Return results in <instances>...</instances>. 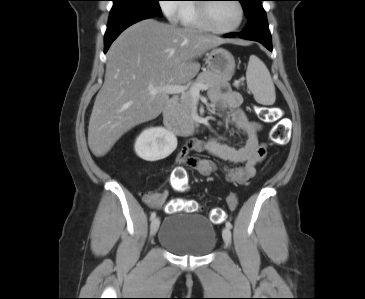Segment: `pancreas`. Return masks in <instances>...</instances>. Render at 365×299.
<instances>
[{"label": "pancreas", "instance_id": "cf45deb5", "mask_svg": "<svg viewBox=\"0 0 365 299\" xmlns=\"http://www.w3.org/2000/svg\"><path fill=\"white\" fill-rule=\"evenodd\" d=\"M228 81L227 77L215 74L211 71H205L198 75L192 86L197 84L207 85L208 88L219 87ZM194 107V97L189 92L182 94L180 102L175 106L174 118L177 124L184 129H193L194 120L192 118Z\"/></svg>", "mask_w": 365, "mask_h": 299}]
</instances>
